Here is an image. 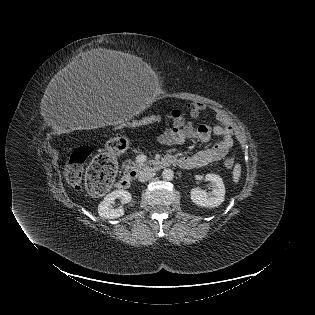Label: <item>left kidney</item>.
<instances>
[{
    "label": "left kidney",
    "mask_w": 315,
    "mask_h": 315,
    "mask_svg": "<svg viewBox=\"0 0 315 315\" xmlns=\"http://www.w3.org/2000/svg\"><path fill=\"white\" fill-rule=\"evenodd\" d=\"M205 180L211 182V192L207 193L200 188L192 189L190 192L192 202L202 207L221 205L225 198V186L222 178L216 174H207Z\"/></svg>",
    "instance_id": "1"
}]
</instances>
